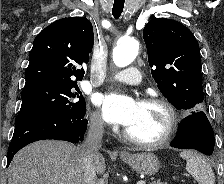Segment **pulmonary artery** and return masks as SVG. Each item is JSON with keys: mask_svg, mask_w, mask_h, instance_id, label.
<instances>
[{"mask_svg": "<svg viewBox=\"0 0 224 184\" xmlns=\"http://www.w3.org/2000/svg\"><path fill=\"white\" fill-rule=\"evenodd\" d=\"M111 78L129 85H137L141 82L140 71L134 67H130L122 71H117L111 75Z\"/></svg>", "mask_w": 224, "mask_h": 184, "instance_id": "pulmonary-artery-1", "label": "pulmonary artery"}]
</instances>
